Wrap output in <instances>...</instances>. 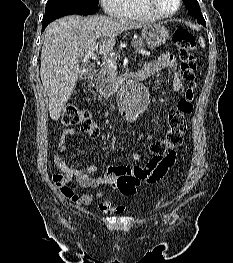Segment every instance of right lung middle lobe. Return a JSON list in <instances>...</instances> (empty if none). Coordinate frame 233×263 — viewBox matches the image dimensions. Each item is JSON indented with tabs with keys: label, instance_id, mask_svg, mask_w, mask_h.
<instances>
[{
	"label": "right lung middle lobe",
	"instance_id": "right-lung-middle-lobe-1",
	"mask_svg": "<svg viewBox=\"0 0 233 263\" xmlns=\"http://www.w3.org/2000/svg\"><path fill=\"white\" fill-rule=\"evenodd\" d=\"M98 9V0H48L43 21L51 22L71 14H94Z\"/></svg>",
	"mask_w": 233,
	"mask_h": 263
}]
</instances>
